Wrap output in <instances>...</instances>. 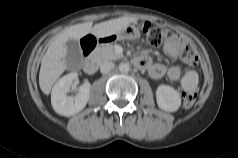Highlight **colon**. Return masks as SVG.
I'll return each instance as SVG.
<instances>
[{"instance_id":"5ec220e1","label":"colon","mask_w":238,"mask_h":158,"mask_svg":"<svg viewBox=\"0 0 238 158\" xmlns=\"http://www.w3.org/2000/svg\"><path fill=\"white\" fill-rule=\"evenodd\" d=\"M141 30L145 33L147 40L151 46L158 47L163 42L177 38L176 33L165 25L158 24L152 21L140 23ZM94 42L92 37H87L83 42L85 52H89ZM180 59L183 63L190 67H195L198 64V56L193 46L184 42L180 52ZM183 106L188 108L195 102L197 92L195 89H181Z\"/></svg>"}]
</instances>
